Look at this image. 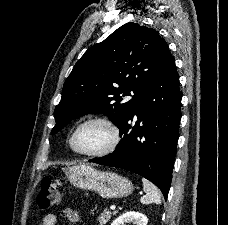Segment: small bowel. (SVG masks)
<instances>
[{
	"label": "small bowel",
	"mask_w": 228,
	"mask_h": 225,
	"mask_svg": "<svg viewBox=\"0 0 228 225\" xmlns=\"http://www.w3.org/2000/svg\"><path fill=\"white\" fill-rule=\"evenodd\" d=\"M63 214L72 223H77L79 221L78 213L72 208H65L63 210ZM56 224H57V216L54 213L46 214L41 220V225H56Z\"/></svg>",
	"instance_id": "1"
}]
</instances>
